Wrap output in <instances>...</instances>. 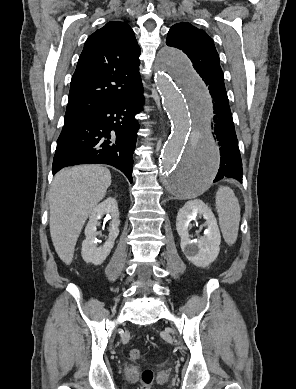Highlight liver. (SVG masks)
<instances>
[{"mask_svg":"<svg viewBox=\"0 0 296 389\" xmlns=\"http://www.w3.org/2000/svg\"><path fill=\"white\" fill-rule=\"evenodd\" d=\"M111 185L110 171L79 165L56 174L49 191L50 234L60 259L71 264L81 230Z\"/></svg>","mask_w":296,"mask_h":389,"instance_id":"1","label":"liver"}]
</instances>
